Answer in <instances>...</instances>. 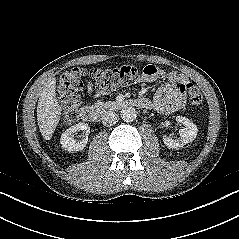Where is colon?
Returning a JSON list of instances; mask_svg holds the SVG:
<instances>
[{"label":"colon","instance_id":"1","mask_svg":"<svg viewBox=\"0 0 239 239\" xmlns=\"http://www.w3.org/2000/svg\"><path fill=\"white\" fill-rule=\"evenodd\" d=\"M138 71L134 66L124 65L110 69L99 68H73L60 76L58 84V98L60 100L64 120L72 123L77 119L80 105V90L83 79L91 78L92 85L97 90H111L131 84L137 77ZM187 90L189 102L198 107L202 104L201 91L194 85H184Z\"/></svg>","mask_w":239,"mask_h":239}]
</instances>
